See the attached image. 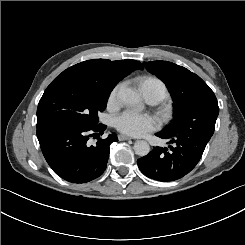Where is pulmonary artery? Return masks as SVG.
Returning <instances> with one entry per match:
<instances>
[{"label":"pulmonary artery","mask_w":245,"mask_h":245,"mask_svg":"<svg viewBox=\"0 0 245 245\" xmlns=\"http://www.w3.org/2000/svg\"><path fill=\"white\" fill-rule=\"evenodd\" d=\"M142 92H143V95H144L146 101L149 103H155V102L160 100L159 96L156 93H153V92L148 91V90H144Z\"/></svg>","instance_id":"e3ab8cb5"}]
</instances>
